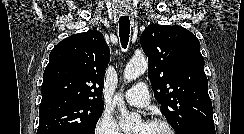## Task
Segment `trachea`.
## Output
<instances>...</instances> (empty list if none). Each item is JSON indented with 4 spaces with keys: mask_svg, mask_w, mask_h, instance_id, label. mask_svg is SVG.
<instances>
[{
    "mask_svg": "<svg viewBox=\"0 0 244 134\" xmlns=\"http://www.w3.org/2000/svg\"><path fill=\"white\" fill-rule=\"evenodd\" d=\"M119 36L123 48H126L130 37V21L127 15L119 19Z\"/></svg>",
    "mask_w": 244,
    "mask_h": 134,
    "instance_id": "trachea-1",
    "label": "trachea"
}]
</instances>
